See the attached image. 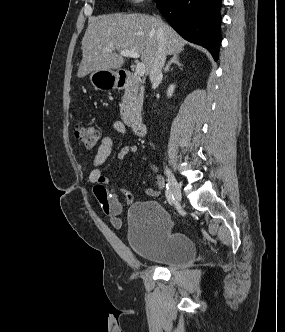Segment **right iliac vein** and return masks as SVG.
Listing matches in <instances>:
<instances>
[{"mask_svg":"<svg viewBox=\"0 0 285 332\" xmlns=\"http://www.w3.org/2000/svg\"><path fill=\"white\" fill-rule=\"evenodd\" d=\"M165 173L168 177V184H169L170 191L173 194V196L176 200V203L180 204L181 199H182V194H181L179 184L170 169L166 168Z\"/></svg>","mask_w":285,"mask_h":332,"instance_id":"right-iliac-vein-1","label":"right iliac vein"}]
</instances>
